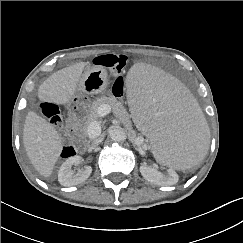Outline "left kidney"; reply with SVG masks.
I'll return each instance as SVG.
<instances>
[{"instance_id": "1", "label": "left kidney", "mask_w": 243, "mask_h": 243, "mask_svg": "<svg viewBox=\"0 0 243 243\" xmlns=\"http://www.w3.org/2000/svg\"><path fill=\"white\" fill-rule=\"evenodd\" d=\"M140 173L147 181L160 186L175 185L179 180L178 174L173 170L168 169L164 174L146 164L140 166Z\"/></svg>"}]
</instances>
